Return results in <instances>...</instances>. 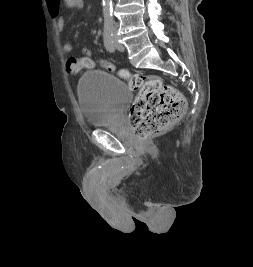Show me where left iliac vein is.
I'll return each instance as SVG.
<instances>
[{"label": "left iliac vein", "mask_w": 253, "mask_h": 267, "mask_svg": "<svg viewBox=\"0 0 253 267\" xmlns=\"http://www.w3.org/2000/svg\"><path fill=\"white\" fill-rule=\"evenodd\" d=\"M113 40H114V43L116 45V48L119 50V51H124V47L122 44H120L118 41H117V37L114 36L113 37Z\"/></svg>", "instance_id": "left-iliac-vein-1"}]
</instances>
